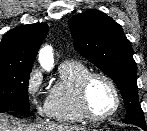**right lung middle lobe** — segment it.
Masks as SVG:
<instances>
[{
    "mask_svg": "<svg viewBox=\"0 0 147 131\" xmlns=\"http://www.w3.org/2000/svg\"><path fill=\"white\" fill-rule=\"evenodd\" d=\"M31 68H0V113L29 112L28 81Z\"/></svg>",
    "mask_w": 147,
    "mask_h": 131,
    "instance_id": "1",
    "label": "right lung middle lobe"
}]
</instances>
